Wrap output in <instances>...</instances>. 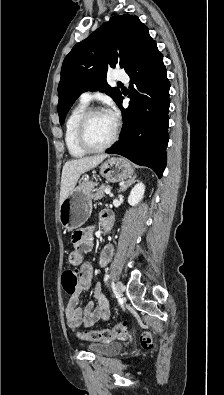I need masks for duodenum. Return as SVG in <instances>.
<instances>
[{"label":"duodenum","instance_id":"obj_1","mask_svg":"<svg viewBox=\"0 0 224 395\" xmlns=\"http://www.w3.org/2000/svg\"><path fill=\"white\" fill-rule=\"evenodd\" d=\"M102 220L103 222L102 225L104 227L105 230H109L113 221V215L111 212L109 211H105L102 215Z\"/></svg>","mask_w":224,"mask_h":395}]
</instances>
